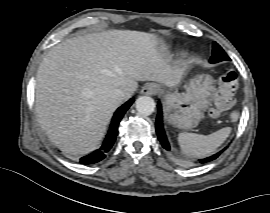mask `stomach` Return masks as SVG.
<instances>
[{"label": "stomach", "mask_w": 270, "mask_h": 213, "mask_svg": "<svg viewBox=\"0 0 270 213\" xmlns=\"http://www.w3.org/2000/svg\"><path fill=\"white\" fill-rule=\"evenodd\" d=\"M214 80L211 76H195L185 85V92L177 89L162 91L166 120L180 129L195 127L204 117L212 96Z\"/></svg>", "instance_id": "1"}]
</instances>
